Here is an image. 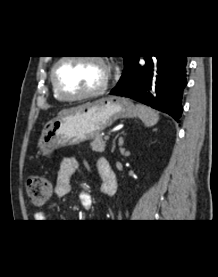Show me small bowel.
<instances>
[{
	"mask_svg": "<svg viewBox=\"0 0 218 277\" xmlns=\"http://www.w3.org/2000/svg\"><path fill=\"white\" fill-rule=\"evenodd\" d=\"M100 160H98V162H97V170L99 172V175L101 174L99 171V161ZM78 167H79V162L74 158H65L61 161L58 171H57L56 181H55V194L57 196L63 197L70 192L71 177L73 176L74 172L78 169ZM100 178L102 181L101 175H100ZM101 191L104 195L112 194L115 191V181L108 182L106 184H103V181H102ZM79 200H80L81 205L85 209H89L92 207L93 199H92V196L90 193H88L86 191H81L79 194ZM34 217H35L36 222H44V220L48 219V216L44 212H36Z\"/></svg>",
	"mask_w": 218,
	"mask_h": 277,
	"instance_id": "c3829d8e",
	"label": "small bowel"
}]
</instances>
